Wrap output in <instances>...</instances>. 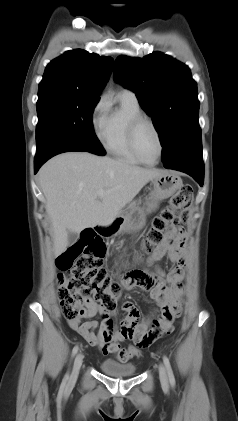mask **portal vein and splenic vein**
<instances>
[{
    "mask_svg": "<svg viewBox=\"0 0 238 421\" xmlns=\"http://www.w3.org/2000/svg\"><path fill=\"white\" fill-rule=\"evenodd\" d=\"M97 194H98V197H102L104 195V191L103 190H99Z\"/></svg>",
    "mask_w": 238,
    "mask_h": 421,
    "instance_id": "portal-vein-and-splenic-vein-1",
    "label": "portal vein and splenic vein"
}]
</instances>
